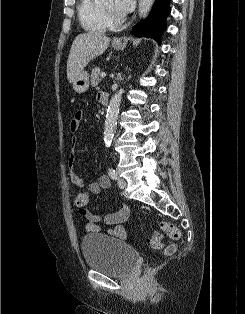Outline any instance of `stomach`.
Returning <instances> with one entry per match:
<instances>
[{"mask_svg":"<svg viewBox=\"0 0 245 314\" xmlns=\"http://www.w3.org/2000/svg\"><path fill=\"white\" fill-rule=\"evenodd\" d=\"M113 48L115 50H123L126 46L125 43H120V44H112ZM73 88L74 90L81 94L84 93L88 90L89 88V74L86 71H81L76 78L73 81Z\"/></svg>","mask_w":245,"mask_h":314,"instance_id":"obj_1","label":"stomach"}]
</instances>
